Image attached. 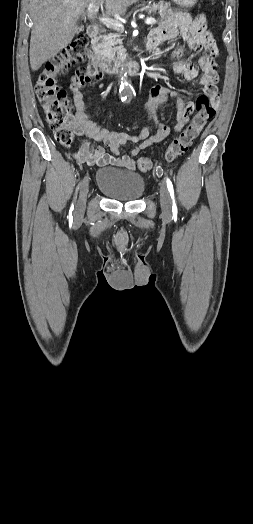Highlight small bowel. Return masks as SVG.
<instances>
[{"label":"small bowel","instance_id":"small-bowel-1","mask_svg":"<svg viewBox=\"0 0 253 524\" xmlns=\"http://www.w3.org/2000/svg\"><path fill=\"white\" fill-rule=\"evenodd\" d=\"M181 35L195 51H205L207 54L200 57L198 67L190 62L175 61L172 68L175 73L181 75L185 80L198 79L202 86L204 95L214 105L219 101L218 71L214 62L216 45L212 34L206 29V17L201 14L195 18L179 15L167 23L154 27L149 35L148 53L153 56L157 48ZM188 51L177 48L171 53V58L177 59L186 56ZM168 97L175 99L177 123L175 131H181L190 120V113L194 108L193 102H185L184 98L175 90L168 87L155 85L149 91V98L145 103L148 124L144 126L138 135H129L124 132L111 131L99 127L92 121L87 112L83 93L73 96L75 114V132L80 136H86L90 141L82 144L78 152L73 153V158L78 163L87 165L107 166L113 165L128 170H135L134 157L144 148L155 143L162 142L170 133V128L164 124L159 117V109ZM154 123L152 130L150 123ZM92 141L106 145L111 154L107 153L102 146H95ZM128 143L135 147L126 154H121L122 147Z\"/></svg>","mask_w":253,"mask_h":524}]
</instances>
